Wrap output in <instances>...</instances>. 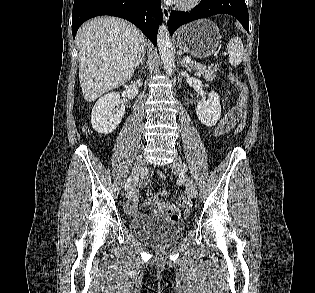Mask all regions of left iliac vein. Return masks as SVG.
I'll return each mask as SVG.
<instances>
[{
	"mask_svg": "<svg viewBox=\"0 0 315 293\" xmlns=\"http://www.w3.org/2000/svg\"><path fill=\"white\" fill-rule=\"evenodd\" d=\"M170 166H171V169L175 173H177L183 177L187 194L191 198H196L197 197L196 185H195L194 181L192 180V178L188 174H186L185 167H184V164H183L181 158L179 156H175V158H174L173 162L170 164Z\"/></svg>",
	"mask_w": 315,
	"mask_h": 293,
	"instance_id": "left-iliac-vein-1",
	"label": "left iliac vein"
}]
</instances>
